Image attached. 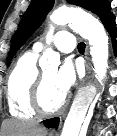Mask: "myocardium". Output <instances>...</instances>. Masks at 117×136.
I'll return each mask as SVG.
<instances>
[{
    "instance_id": "1",
    "label": "myocardium",
    "mask_w": 117,
    "mask_h": 136,
    "mask_svg": "<svg viewBox=\"0 0 117 136\" xmlns=\"http://www.w3.org/2000/svg\"><path fill=\"white\" fill-rule=\"evenodd\" d=\"M43 85H44L43 73H39L31 95V106L34 112L40 116H52L64 110L68 101L66 95L63 97L62 102L56 108L47 109L44 107L41 99Z\"/></svg>"
}]
</instances>
